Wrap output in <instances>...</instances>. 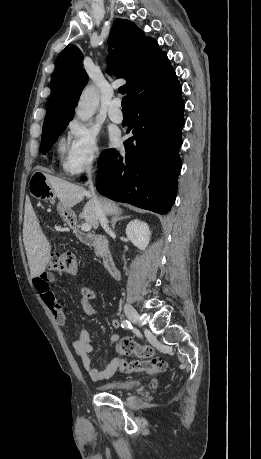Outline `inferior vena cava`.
<instances>
[{
    "label": "inferior vena cava",
    "instance_id": "1",
    "mask_svg": "<svg viewBox=\"0 0 261 459\" xmlns=\"http://www.w3.org/2000/svg\"><path fill=\"white\" fill-rule=\"evenodd\" d=\"M91 175H92V171L89 170L88 179H89L90 190H91L90 193L92 195V200H93V202L95 204V211H96V214H97V216L99 218V221H100L101 225L108 232L109 231V227H108V221H107V218H106V214H105V212L103 210V207H102V204L100 202V199L95 194L93 183H92V180H91Z\"/></svg>",
    "mask_w": 261,
    "mask_h": 459
}]
</instances>
